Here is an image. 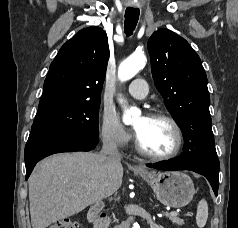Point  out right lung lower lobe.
Listing matches in <instances>:
<instances>
[{
  "label": "right lung lower lobe",
  "mask_w": 238,
  "mask_h": 228,
  "mask_svg": "<svg viewBox=\"0 0 238 228\" xmlns=\"http://www.w3.org/2000/svg\"><path fill=\"white\" fill-rule=\"evenodd\" d=\"M98 136L71 130H31L25 146L26 180L41 159L60 152L90 151Z\"/></svg>",
  "instance_id": "98d812e1"
}]
</instances>
